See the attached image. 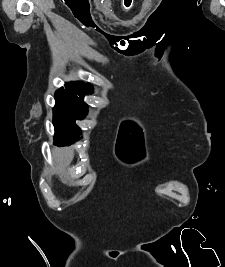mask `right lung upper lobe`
I'll list each match as a JSON object with an SVG mask.
<instances>
[{
  "instance_id": "1",
  "label": "right lung upper lobe",
  "mask_w": 225,
  "mask_h": 267,
  "mask_svg": "<svg viewBox=\"0 0 225 267\" xmlns=\"http://www.w3.org/2000/svg\"><path fill=\"white\" fill-rule=\"evenodd\" d=\"M65 87L67 90L76 92L82 96L93 92V87L90 84H85L83 82H69L66 83Z\"/></svg>"
}]
</instances>
